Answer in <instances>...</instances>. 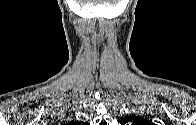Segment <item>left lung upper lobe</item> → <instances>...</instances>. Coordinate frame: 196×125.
I'll list each match as a JSON object with an SVG mask.
<instances>
[{
	"label": "left lung upper lobe",
	"instance_id": "5c2ea615",
	"mask_svg": "<svg viewBox=\"0 0 196 125\" xmlns=\"http://www.w3.org/2000/svg\"><path fill=\"white\" fill-rule=\"evenodd\" d=\"M142 123H144V121H143V120L138 119V120L136 121V123H135V124H142Z\"/></svg>",
	"mask_w": 196,
	"mask_h": 125
}]
</instances>
